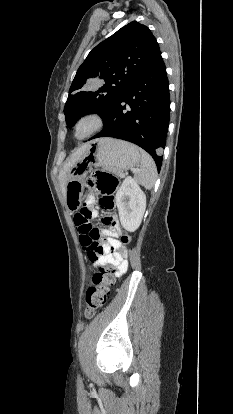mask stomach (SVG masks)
Returning <instances> with one entry per match:
<instances>
[{"label": "stomach", "mask_w": 233, "mask_h": 414, "mask_svg": "<svg viewBox=\"0 0 233 414\" xmlns=\"http://www.w3.org/2000/svg\"><path fill=\"white\" fill-rule=\"evenodd\" d=\"M141 162L139 148L131 143L102 138L89 143L84 157L69 173L65 198L69 209L74 210L84 194L85 176L93 167H103L112 172L125 171L138 166Z\"/></svg>", "instance_id": "1"}]
</instances>
